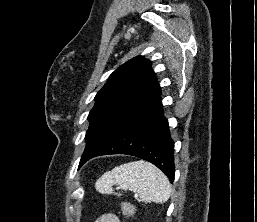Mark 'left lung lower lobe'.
Instances as JSON below:
<instances>
[{"mask_svg":"<svg viewBox=\"0 0 257 222\" xmlns=\"http://www.w3.org/2000/svg\"><path fill=\"white\" fill-rule=\"evenodd\" d=\"M163 114V105L161 97H159L130 120L98 152L84 159L79 167L99 155H132L153 163L173 183L175 175L174 141L171 139L169 125Z\"/></svg>","mask_w":257,"mask_h":222,"instance_id":"0a47b994","label":"left lung lower lobe"}]
</instances>
